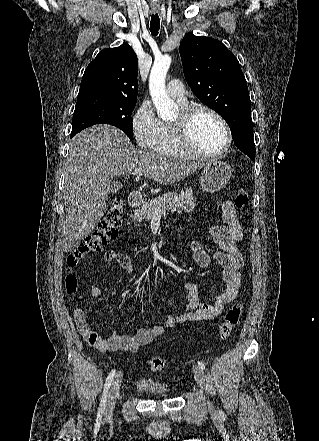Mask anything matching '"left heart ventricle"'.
<instances>
[{
	"label": "left heart ventricle",
	"instance_id": "1",
	"mask_svg": "<svg viewBox=\"0 0 319 441\" xmlns=\"http://www.w3.org/2000/svg\"><path fill=\"white\" fill-rule=\"evenodd\" d=\"M190 136L193 145L198 150L208 153L219 151L226 143L224 128L215 117L208 113H200L195 118Z\"/></svg>",
	"mask_w": 319,
	"mask_h": 441
}]
</instances>
